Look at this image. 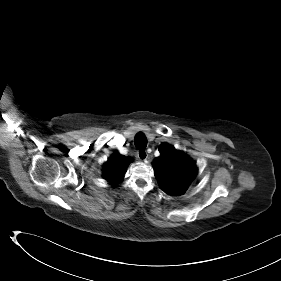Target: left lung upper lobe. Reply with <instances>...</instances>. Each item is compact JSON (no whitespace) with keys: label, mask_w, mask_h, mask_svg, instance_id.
Listing matches in <instances>:
<instances>
[{"label":"left lung upper lobe","mask_w":281,"mask_h":281,"mask_svg":"<svg viewBox=\"0 0 281 281\" xmlns=\"http://www.w3.org/2000/svg\"><path fill=\"white\" fill-rule=\"evenodd\" d=\"M159 151L161 155L152 165L160 188L169 195L184 194L197 175L196 163L167 143H162Z\"/></svg>","instance_id":"left-lung-upper-lobe-1"}]
</instances>
